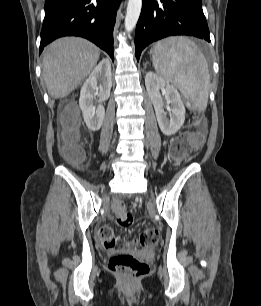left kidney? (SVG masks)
Masks as SVG:
<instances>
[{
    "instance_id": "1",
    "label": "left kidney",
    "mask_w": 261,
    "mask_h": 306,
    "mask_svg": "<svg viewBox=\"0 0 261 306\" xmlns=\"http://www.w3.org/2000/svg\"><path fill=\"white\" fill-rule=\"evenodd\" d=\"M145 85L162 133L166 136L175 134L184 124L186 112L179 92L173 85H170L162 77L151 71L145 76ZM160 90L165 97L167 105L170 107L169 118L163 108L164 103Z\"/></svg>"
}]
</instances>
